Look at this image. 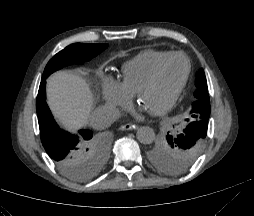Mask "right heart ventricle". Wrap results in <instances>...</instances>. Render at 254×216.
I'll list each match as a JSON object with an SVG mask.
<instances>
[{
    "mask_svg": "<svg viewBox=\"0 0 254 216\" xmlns=\"http://www.w3.org/2000/svg\"><path fill=\"white\" fill-rule=\"evenodd\" d=\"M170 53L145 50L122 65L119 85L129 94H135L147 81L154 67Z\"/></svg>",
    "mask_w": 254,
    "mask_h": 216,
    "instance_id": "e07e8e85",
    "label": "right heart ventricle"
}]
</instances>
